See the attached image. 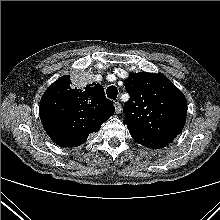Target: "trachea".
<instances>
[{
	"label": "trachea",
	"mask_w": 220,
	"mask_h": 220,
	"mask_svg": "<svg viewBox=\"0 0 220 220\" xmlns=\"http://www.w3.org/2000/svg\"><path fill=\"white\" fill-rule=\"evenodd\" d=\"M107 97L115 100L117 98L118 90L115 86H109L106 90Z\"/></svg>",
	"instance_id": "obj_1"
}]
</instances>
